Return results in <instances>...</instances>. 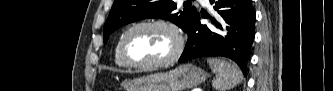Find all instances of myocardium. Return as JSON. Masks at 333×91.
Listing matches in <instances>:
<instances>
[{
	"instance_id": "myocardium-1",
	"label": "myocardium",
	"mask_w": 333,
	"mask_h": 91,
	"mask_svg": "<svg viewBox=\"0 0 333 91\" xmlns=\"http://www.w3.org/2000/svg\"><path fill=\"white\" fill-rule=\"evenodd\" d=\"M145 27H163L168 29L174 35L176 40L175 48L172 54L168 58L152 63H139L130 58L128 54L129 38L135 31ZM184 46H185L184 36L179 27L175 23L162 19L149 20V21L139 22L133 25L124 33L120 44V54L124 62L129 67L141 70H150V69L163 68L176 62L182 55Z\"/></svg>"
}]
</instances>
